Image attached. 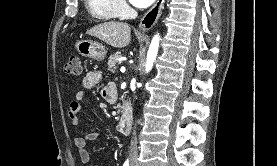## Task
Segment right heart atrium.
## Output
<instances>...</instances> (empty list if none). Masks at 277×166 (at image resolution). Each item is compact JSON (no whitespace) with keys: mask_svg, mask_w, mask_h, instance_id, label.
<instances>
[{"mask_svg":"<svg viewBox=\"0 0 277 166\" xmlns=\"http://www.w3.org/2000/svg\"><path fill=\"white\" fill-rule=\"evenodd\" d=\"M115 4L120 14L128 13L129 7L124 0H115Z\"/></svg>","mask_w":277,"mask_h":166,"instance_id":"right-heart-atrium-1","label":"right heart atrium"}]
</instances>
